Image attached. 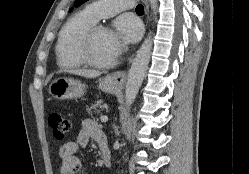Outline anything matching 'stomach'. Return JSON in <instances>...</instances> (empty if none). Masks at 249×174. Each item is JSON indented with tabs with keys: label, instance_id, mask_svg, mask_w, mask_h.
<instances>
[{
	"label": "stomach",
	"instance_id": "1",
	"mask_svg": "<svg viewBox=\"0 0 249 174\" xmlns=\"http://www.w3.org/2000/svg\"><path fill=\"white\" fill-rule=\"evenodd\" d=\"M98 88L106 93L114 94L120 89V85L112 76L101 79ZM86 86L78 80L71 78L55 79L49 86V93L56 99H73L83 96Z\"/></svg>",
	"mask_w": 249,
	"mask_h": 174
}]
</instances>
